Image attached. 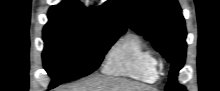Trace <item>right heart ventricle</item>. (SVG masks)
<instances>
[{
    "label": "right heart ventricle",
    "instance_id": "obj_1",
    "mask_svg": "<svg viewBox=\"0 0 220 91\" xmlns=\"http://www.w3.org/2000/svg\"><path fill=\"white\" fill-rule=\"evenodd\" d=\"M103 72L151 84L159 78V63L153 49L141 36L131 32L111 48Z\"/></svg>",
    "mask_w": 220,
    "mask_h": 91
}]
</instances>
